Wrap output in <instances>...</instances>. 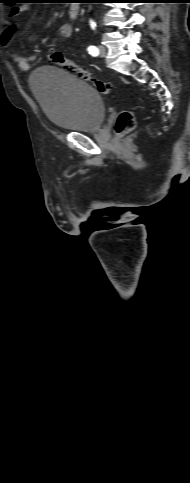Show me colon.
<instances>
[{
	"label": "colon",
	"mask_w": 190,
	"mask_h": 483,
	"mask_svg": "<svg viewBox=\"0 0 190 483\" xmlns=\"http://www.w3.org/2000/svg\"><path fill=\"white\" fill-rule=\"evenodd\" d=\"M47 59L60 66L64 71L75 73L83 81L91 83L101 94L109 95L112 93V84L92 77L91 73L80 68L74 61L66 58L60 51L52 50L47 53ZM136 127V119L133 112L123 110L117 117L115 131L118 135L131 132Z\"/></svg>",
	"instance_id": "5ec220e1"
}]
</instances>
